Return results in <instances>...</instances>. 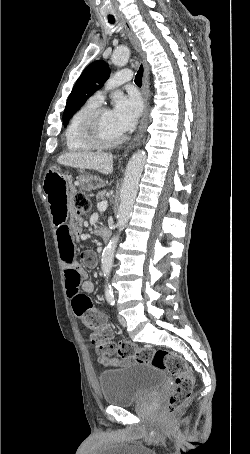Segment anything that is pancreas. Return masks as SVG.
Wrapping results in <instances>:
<instances>
[{"instance_id":"obj_1","label":"pancreas","mask_w":250,"mask_h":454,"mask_svg":"<svg viewBox=\"0 0 250 454\" xmlns=\"http://www.w3.org/2000/svg\"><path fill=\"white\" fill-rule=\"evenodd\" d=\"M104 197H105V191L99 192L97 195L98 199H104Z\"/></svg>"}]
</instances>
